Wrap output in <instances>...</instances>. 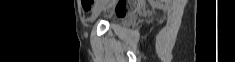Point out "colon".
<instances>
[{"label": "colon", "instance_id": "5ec220e1", "mask_svg": "<svg viewBox=\"0 0 235 62\" xmlns=\"http://www.w3.org/2000/svg\"><path fill=\"white\" fill-rule=\"evenodd\" d=\"M125 11H126V8H119V9L117 10V14H118L119 16H122V15H124Z\"/></svg>", "mask_w": 235, "mask_h": 62}]
</instances>
